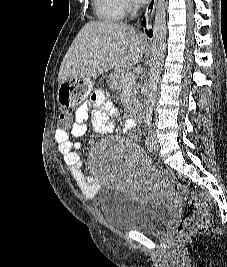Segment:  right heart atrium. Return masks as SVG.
Wrapping results in <instances>:
<instances>
[{
  "mask_svg": "<svg viewBox=\"0 0 227 267\" xmlns=\"http://www.w3.org/2000/svg\"><path fill=\"white\" fill-rule=\"evenodd\" d=\"M134 1L135 0H121L124 9H126L128 11H130V10L133 9V7H134Z\"/></svg>",
  "mask_w": 227,
  "mask_h": 267,
  "instance_id": "right-heart-atrium-1",
  "label": "right heart atrium"
}]
</instances>
